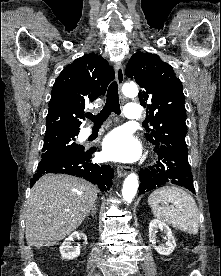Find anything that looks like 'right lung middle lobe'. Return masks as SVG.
<instances>
[{"instance_id":"right-lung-middle-lobe-1","label":"right lung middle lobe","mask_w":221,"mask_h":276,"mask_svg":"<svg viewBox=\"0 0 221 276\" xmlns=\"http://www.w3.org/2000/svg\"><path fill=\"white\" fill-rule=\"evenodd\" d=\"M78 133L45 134L42 159L83 151L84 147L75 142Z\"/></svg>"}]
</instances>
